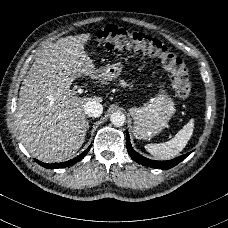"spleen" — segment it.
<instances>
[{
    "instance_id": "3e777b00",
    "label": "spleen",
    "mask_w": 228,
    "mask_h": 228,
    "mask_svg": "<svg viewBox=\"0 0 228 228\" xmlns=\"http://www.w3.org/2000/svg\"><path fill=\"white\" fill-rule=\"evenodd\" d=\"M193 128L194 123L191 120L170 141L158 144H148L145 148L155 157L161 159L173 158L186 146L187 141L192 136Z\"/></svg>"
}]
</instances>
